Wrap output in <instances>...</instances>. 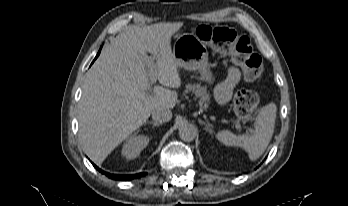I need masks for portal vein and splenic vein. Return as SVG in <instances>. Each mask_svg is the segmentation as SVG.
<instances>
[{"mask_svg":"<svg viewBox=\"0 0 348 206\" xmlns=\"http://www.w3.org/2000/svg\"><path fill=\"white\" fill-rule=\"evenodd\" d=\"M155 82H156V79L153 78V77H151V78H150V84L152 85V84H154ZM236 127H239V125L237 124Z\"/></svg>","mask_w":348,"mask_h":206,"instance_id":"portal-vein-and-splenic-vein-1","label":"portal vein and splenic vein"}]
</instances>
